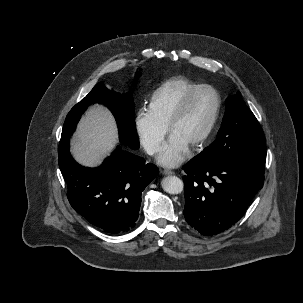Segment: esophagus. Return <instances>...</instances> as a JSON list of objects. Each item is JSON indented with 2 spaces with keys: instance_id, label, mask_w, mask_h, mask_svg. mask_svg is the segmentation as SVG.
Segmentation results:
<instances>
[{
  "instance_id": "34e87169",
  "label": "esophagus",
  "mask_w": 303,
  "mask_h": 303,
  "mask_svg": "<svg viewBox=\"0 0 303 303\" xmlns=\"http://www.w3.org/2000/svg\"><path fill=\"white\" fill-rule=\"evenodd\" d=\"M162 173H163L164 175H173V174H175L174 171L167 170V169L163 170Z\"/></svg>"
}]
</instances>
